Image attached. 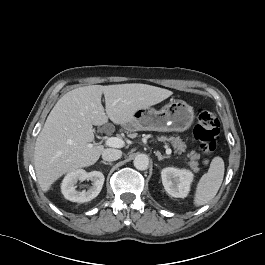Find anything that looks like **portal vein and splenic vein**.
Here are the masks:
<instances>
[{
  "label": "portal vein and splenic vein",
  "instance_id": "obj_1",
  "mask_svg": "<svg viewBox=\"0 0 265 265\" xmlns=\"http://www.w3.org/2000/svg\"><path fill=\"white\" fill-rule=\"evenodd\" d=\"M105 144L109 147H114V148H122L125 145V142L118 137H109L106 139ZM171 149L167 148L166 153L171 154Z\"/></svg>",
  "mask_w": 265,
  "mask_h": 265
}]
</instances>
